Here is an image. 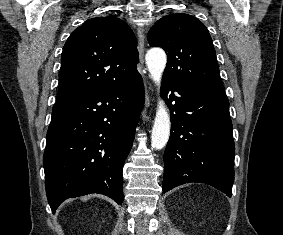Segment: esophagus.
I'll list each match as a JSON object with an SVG mask.
<instances>
[{
	"label": "esophagus",
	"mask_w": 283,
	"mask_h": 235,
	"mask_svg": "<svg viewBox=\"0 0 283 235\" xmlns=\"http://www.w3.org/2000/svg\"><path fill=\"white\" fill-rule=\"evenodd\" d=\"M138 35V52L140 63H144V48H145V34L143 28L139 27L137 30Z\"/></svg>",
	"instance_id": "1"
}]
</instances>
